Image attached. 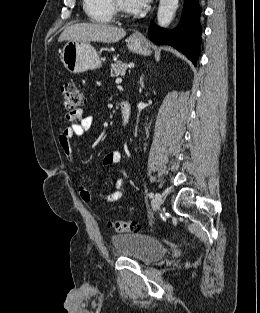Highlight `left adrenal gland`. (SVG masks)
Returning <instances> with one entry per match:
<instances>
[{
	"mask_svg": "<svg viewBox=\"0 0 260 313\" xmlns=\"http://www.w3.org/2000/svg\"><path fill=\"white\" fill-rule=\"evenodd\" d=\"M140 85H141L142 88H144L143 75L140 78Z\"/></svg>",
	"mask_w": 260,
	"mask_h": 313,
	"instance_id": "left-adrenal-gland-1",
	"label": "left adrenal gland"
}]
</instances>
